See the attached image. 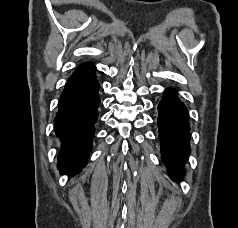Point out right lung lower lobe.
<instances>
[{
	"label": "right lung lower lobe",
	"mask_w": 238,
	"mask_h": 228,
	"mask_svg": "<svg viewBox=\"0 0 238 228\" xmlns=\"http://www.w3.org/2000/svg\"><path fill=\"white\" fill-rule=\"evenodd\" d=\"M98 90L99 83L93 75L67 82L61 94L54 124L56 135L62 142L58 169L63 174L78 173L92 150L100 103Z\"/></svg>",
	"instance_id": "98d812e1"
}]
</instances>
